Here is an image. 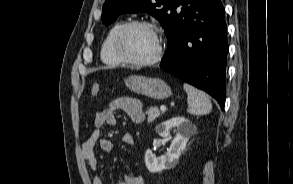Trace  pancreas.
<instances>
[{"label":"pancreas","instance_id":"obj_1","mask_svg":"<svg viewBox=\"0 0 293 184\" xmlns=\"http://www.w3.org/2000/svg\"><path fill=\"white\" fill-rule=\"evenodd\" d=\"M148 114V123H152L155 121L156 118L160 116V111L158 107H150L147 110Z\"/></svg>","mask_w":293,"mask_h":184}]
</instances>
